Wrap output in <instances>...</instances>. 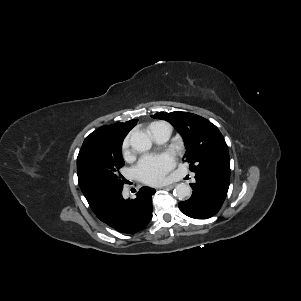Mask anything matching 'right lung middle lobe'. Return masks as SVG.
I'll return each mask as SVG.
<instances>
[{"label": "right lung middle lobe", "instance_id": "dd1d6c3e", "mask_svg": "<svg viewBox=\"0 0 301 301\" xmlns=\"http://www.w3.org/2000/svg\"><path fill=\"white\" fill-rule=\"evenodd\" d=\"M122 143L93 138L83 143L77 157L79 186L91 209L97 213L125 183Z\"/></svg>", "mask_w": 301, "mask_h": 301}]
</instances>
